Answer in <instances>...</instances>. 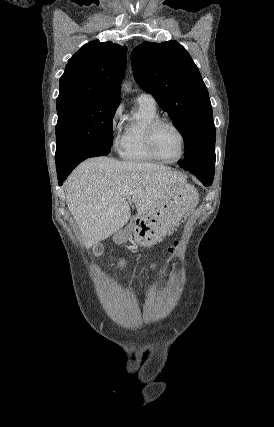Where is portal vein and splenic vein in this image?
<instances>
[{
  "instance_id": "portal-vein-and-splenic-vein-1",
  "label": "portal vein and splenic vein",
  "mask_w": 274,
  "mask_h": 427,
  "mask_svg": "<svg viewBox=\"0 0 274 427\" xmlns=\"http://www.w3.org/2000/svg\"><path fill=\"white\" fill-rule=\"evenodd\" d=\"M124 196H127V198H130V196H132L133 192H123Z\"/></svg>"
}]
</instances>
